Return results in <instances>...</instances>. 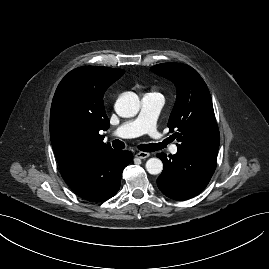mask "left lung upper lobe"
Masks as SVG:
<instances>
[{"mask_svg":"<svg viewBox=\"0 0 269 269\" xmlns=\"http://www.w3.org/2000/svg\"><path fill=\"white\" fill-rule=\"evenodd\" d=\"M151 70L177 88V99L169 118V131H175L179 149L218 148L220 135L208 88L192 67L181 63H163Z\"/></svg>","mask_w":269,"mask_h":269,"instance_id":"left-lung-upper-lobe-1","label":"left lung upper lobe"}]
</instances>
